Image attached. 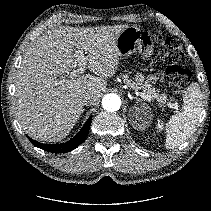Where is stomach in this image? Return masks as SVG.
<instances>
[{"mask_svg": "<svg viewBox=\"0 0 211 211\" xmlns=\"http://www.w3.org/2000/svg\"><path fill=\"white\" fill-rule=\"evenodd\" d=\"M115 46L121 57L137 50L144 59H148L154 51V40L148 31L136 26H127L117 36Z\"/></svg>", "mask_w": 211, "mask_h": 211, "instance_id": "stomach-1", "label": "stomach"}]
</instances>
